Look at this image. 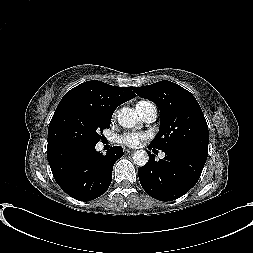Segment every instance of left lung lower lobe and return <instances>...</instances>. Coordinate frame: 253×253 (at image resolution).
Wrapping results in <instances>:
<instances>
[{"instance_id": "0a47b994", "label": "left lung lower lobe", "mask_w": 253, "mask_h": 253, "mask_svg": "<svg viewBox=\"0 0 253 253\" xmlns=\"http://www.w3.org/2000/svg\"><path fill=\"white\" fill-rule=\"evenodd\" d=\"M148 148L156 150L151 145ZM163 152L165 158L159 161L148 152L149 161L138 169V175L142 188L151 197L171 201L197 183L208 154L189 148H170Z\"/></svg>"}]
</instances>
